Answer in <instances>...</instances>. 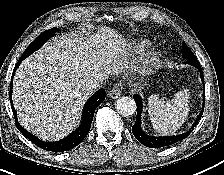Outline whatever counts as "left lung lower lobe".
<instances>
[{"label": "left lung lower lobe", "mask_w": 224, "mask_h": 175, "mask_svg": "<svg viewBox=\"0 0 224 175\" xmlns=\"http://www.w3.org/2000/svg\"><path fill=\"white\" fill-rule=\"evenodd\" d=\"M188 64L195 66L199 70L201 75V80L204 84V77H203V73L199 63H188ZM204 96H205V90L203 92V98ZM134 100L137 104V116H136L135 124L132 127V133L140 143H142L144 146L149 148L166 147L185 139L192 132L193 128L198 123V121L200 120L203 114V109H202L201 113L197 116V119L195 123L193 124V126L191 127V129L183 134H180L177 136H159V137L150 136V135H147L141 128L142 99L139 95H134Z\"/></svg>", "instance_id": "0a47b994"}]
</instances>
